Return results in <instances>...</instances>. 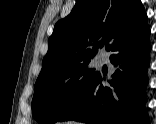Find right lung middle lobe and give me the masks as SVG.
<instances>
[{"label": "right lung middle lobe", "instance_id": "1", "mask_svg": "<svg viewBox=\"0 0 156 124\" xmlns=\"http://www.w3.org/2000/svg\"><path fill=\"white\" fill-rule=\"evenodd\" d=\"M86 61L38 78L32 115L38 123L52 124L72 107L94 82L99 72Z\"/></svg>", "mask_w": 156, "mask_h": 124}]
</instances>
